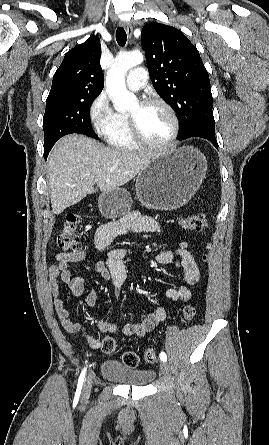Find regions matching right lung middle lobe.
I'll return each instance as SVG.
<instances>
[{"instance_id": "right-lung-middle-lobe-1", "label": "right lung middle lobe", "mask_w": 269, "mask_h": 445, "mask_svg": "<svg viewBox=\"0 0 269 445\" xmlns=\"http://www.w3.org/2000/svg\"><path fill=\"white\" fill-rule=\"evenodd\" d=\"M98 95L47 97L43 118L44 156L58 139L66 134L80 133L98 139L89 119V109Z\"/></svg>"}]
</instances>
